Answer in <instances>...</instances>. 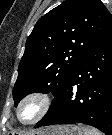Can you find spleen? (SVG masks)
I'll return each mask as SVG.
<instances>
[{"label": "spleen", "mask_w": 112, "mask_h": 135, "mask_svg": "<svg viewBox=\"0 0 112 135\" xmlns=\"http://www.w3.org/2000/svg\"><path fill=\"white\" fill-rule=\"evenodd\" d=\"M84 135H103L101 132L95 128L84 127Z\"/></svg>", "instance_id": "1"}]
</instances>
